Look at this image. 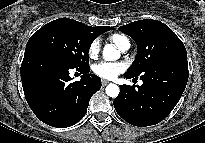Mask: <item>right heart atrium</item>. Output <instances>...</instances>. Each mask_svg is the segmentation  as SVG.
<instances>
[{"instance_id":"1","label":"right heart atrium","mask_w":205,"mask_h":143,"mask_svg":"<svg viewBox=\"0 0 205 143\" xmlns=\"http://www.w3.org/2000/svg\"><path fill=\"white\" fill-rule=\"evenodd\" d=\"M101 42L98 38L91 41L88 47V55L91 58L97 57L100 52Z\"/></svg>"}]
</instances>
